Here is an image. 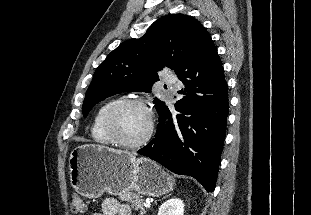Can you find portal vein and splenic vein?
<instances>
[{"label": "portal vein and splenic vein", "instance_id": "obj_1", "mask_svg": "<svg viewBox=\"0 0 311 215\" xmlns=\"http://www.w3.org/2000/svg\"><path fill=\"white\" fill-rule=\"evenodd\" d=\"M144 206H145L146 208H149V207L151 206V204H150L149 202H145V203H144Z\"/></svg>", "mask_w": 311, "mask_h": 215}]
</instances>
